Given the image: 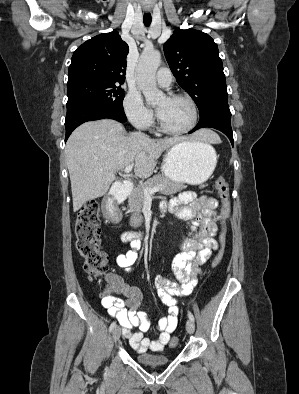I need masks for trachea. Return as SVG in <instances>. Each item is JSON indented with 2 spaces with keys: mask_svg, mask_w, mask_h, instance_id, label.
Segmentation results:
<instances>
[{
  "mask_svg": "<svg viewBox=\"0 0 299 394\" xmlns=\"http://www.w3.org/2000/svg\"><path fill=\"white\" fill-rule=\"evenodd\" d=\"M152 21V17L150 13H144L143 22L146 27H149Z\"/></svg>",
  "mask_w": 299,
  "mask_h": 394,
  "instance_id": "1",
  "label": "trachea"
}]
</instances>
